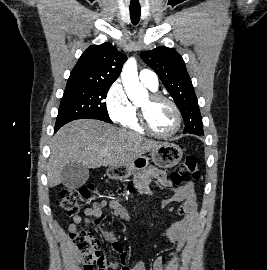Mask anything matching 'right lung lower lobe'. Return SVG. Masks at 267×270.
Segmentation results:
<instances>
[{"label": "right lung lower lobe", "instance_id": "98d812e1", "mask_svg": "<svg viewBox=\"0 0 267 270\" xmlns=\"http://www.w3.org/2000/svg\"><path fill=\"white\" fill-rule=\"evenodd\" d=\"M60 127L61 125H55L54 132H56Z\"/></svg>", "mask_w": 267, "mask_h": 270}]
</instances>
